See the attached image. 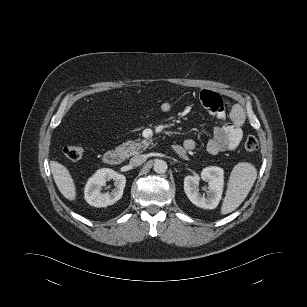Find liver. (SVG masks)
I'll return each mask as SVG.
<instances>
[{
  "mask_svg": "<svg viewBox=\"0 0 307 307\" xmlns=\"http://www.w3.org/2000/svg\"><path fill=\"white\" fill-rule=\"evenodd\" d=\"M51 172L61 194L68 200L76 199V188L69 170L62 164L51 161Z\"/></svg>",
  "mask_w": 307,
  "mask_h": 307,
  "instance_id": "liver-1",
  "label": "liver"
}]
</instances>
